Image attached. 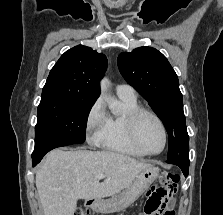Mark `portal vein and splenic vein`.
<instances>
[{
	"mask_svg": "<svg viewBox=\"0 0 223 215\" xmlns=\"http://www.w3.org/2000/svg\"><path fill=\"white\" fill-rule=\"evenodd\" d=\"M96 177H99V179H102V177H106V175H103V173H98V175H96Z\"/></svg>",
	"mask_w": 223,
	"mask_h": 215,
	"instance_id": "1",
	"label": "portal vein and splenic vein"
}]
</instances>
